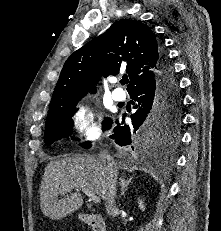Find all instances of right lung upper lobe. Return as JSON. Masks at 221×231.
I'll return each mask as SVG.
<instances>
[{"mask_svg": "<svg viewBox=\"0 0 221 231\" xmlns=\"http://www.w3.org/2000/svg\"><path fill=\"white\" fill-rule=\"evenodd\" d=\"M161 48L152 30L135 20H120L66 61L54 90L48 116L70 99L95 92L96 79L126 69L128 92L143 88L160 73Z\"/></svg>", "mask_w": 221, "mask_h": 231, "instance_id": "cb5924a9", "label": "right lung upper lobe"}]
</instances>
